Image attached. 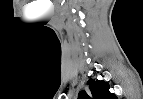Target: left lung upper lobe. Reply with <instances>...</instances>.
Instances as JSON below:
<instances>
[{"label":"left lung upper lobe","instance_id":"1","mask_svg":"<svg viewBox=\"0 0 143 99\" xmlns=\"http://www.w3.org/2000/svg\"><path fill=\"white\" fill-rule=\"evenodd\" d=\"M92 98L85 92H79L78 99H117L115 94L110 93L109 84L105 81L89 79L87 82Z\"/></svg>","mask_w":143,"mask_h":99}]
</instances>
